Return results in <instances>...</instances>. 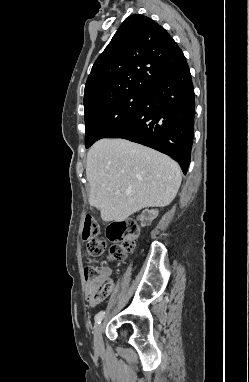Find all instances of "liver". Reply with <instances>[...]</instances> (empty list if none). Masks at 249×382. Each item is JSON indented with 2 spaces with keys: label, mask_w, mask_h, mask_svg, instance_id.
<instances>
[{
  "label": "liver",
  "mask_w": 249,
  "mask_h": 382,
  "mask_svg": "<svg viewBox=\"0 0 249 382\" xmlns=\"http://www.w3.org/2000/svg\"><path fill=\"white\" fill-rule=\"evenodd\" d=\"M89 203L104 221H124L145 207H165L181 184L167 155L126 139H101L87 154Z\"/></svg>",
  "instance_id": "liver-1"
}]
</instances>
